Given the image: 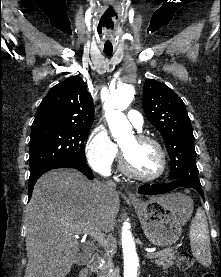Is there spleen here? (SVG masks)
I'll return each mask as SVG.
<instances>
[{"mask_svg":"<svg viewBox=\"0 0 221 277\" xmlns=\"http://www.w3.org/2000/svg\"><path fill=\"white\" fill-rule=\"evenodd\" d=\"M189 236L193 255L201 264L209 266L211 263L209 230L206 216L201 209L197 210L191 222Z\"/></svg>","mask_w":221,"mask_h":277,"instance_id":"1","label":"spleen"}]
</instances>
